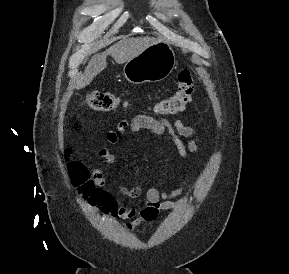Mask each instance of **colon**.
<instances>
[{
  "mask_svg": "<svg viewBox=\"0 0 289 274\" xmlns=\"http://www.w3.org/2000/svg\"><path fill=\"white\" fill-rule=\"evenodd\" d=\"M195 89V81L188 69L182 70L178 75L176 89L172 95L159 101L154 110L160 115H173L183 111L191 101ZM84 104L93 111L107 112L117 109L121 99L108 91H93L89 93ZM69 171L75 186L89 202L99 208L113 210L115 202L113 197L101 188H97L88 169L79 162L69 163Z\"/></svg>",
  "mask_w": 289,
  "mask_h": 274,
  "instance_id": "5ec220e1",
  "label": "colon"
}]
</instances>
